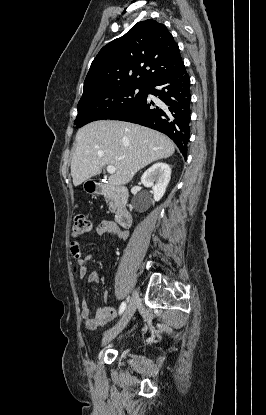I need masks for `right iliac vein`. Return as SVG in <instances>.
I'll return each instance as SVG.
<instances>
[{
    "label": "right iliac vein",
    "mask_w": 266,
    "mask_h": 415,
    "mask_svg": "<svg viewBox=\"0 0 266 415\" xmlns=\"http://www.w3.org/2000/svg\"><path fill=\"white\" fill-rule=\"evenodd\" d=\"M138 304H139V295L137 291H134L130 298L129 304L125 312L123 313L121 319L119 320V322L105 334L103 338V344H106L107 342L111 341L120 332H122V330L126 327L129 320L133 316Z\"/></svg>",
    "instance_id": "63e3f726"
}]
</instances>
